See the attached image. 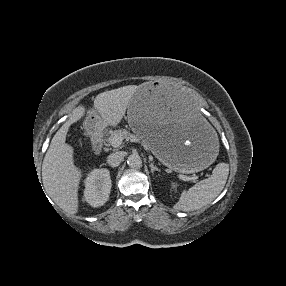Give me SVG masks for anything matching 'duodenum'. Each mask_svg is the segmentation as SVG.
Returning a JSON list of instances; mask_svg holds the SVG:
<instances>
[{"label": "duodenum", "instance_id": "duodenum-1", "mask_svg": "<svg viewBox=\"0 0 286 286\" xmlns=\"http://www.w3.org/2000/svg\"><path fill=\"white\" fill-rule=\"evenodd\" d=\"M92 149L95 154L101 153L103 149V137L100 133H95L92 137Z\"/></svg>", "mask_w": 286, "mask_h": 286}]
</instances>
